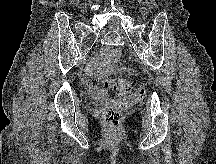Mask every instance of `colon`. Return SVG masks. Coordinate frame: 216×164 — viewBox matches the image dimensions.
<instances>
[{
	"label": "colon",
	"instance_id": "5ec220e1",
	"mask_svg": "<svg viewBox=\"0 0 216 164\" xmlns=\"http://www.w3.org/2000/svg\"><path fill=\"white\" fill-rule=\"evenodd\" d=\"M109 93L117 97L103 110V118L110 127H117L123 119V111L144 95V89L130 78L106 79L103 82Z\"/></svg>",
	"mask_w": 216,
	"mask_h": 164
}]
</instances>
